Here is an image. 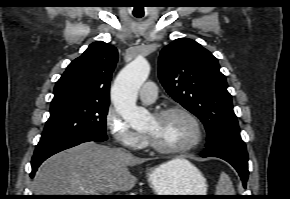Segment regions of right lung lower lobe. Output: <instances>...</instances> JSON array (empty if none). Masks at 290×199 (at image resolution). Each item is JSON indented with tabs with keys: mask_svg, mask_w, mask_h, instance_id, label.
<instances>
[{
	"mask_svg": "<svg viewBox=\"0 0 290 199\" xmlns=\"http://www.w3.org/2000/svg\"><path fill=\"white\" fill-rule=\"evenodd\" d=\"M88 141H99L103 142L105 141L104 139L92 137V136H85V137H78V138H73L69 140H62V141H57L53 143H46V144H38L36 146L34 155L32 157L31 165H32V171H31V178L34 177V174L40 164L46 160L48 157L71 147H74L80 143L83 142H88Z\"/></svg>",
	"mask_w": 290,
	"mask_h": 199,
	"instance_id": "obj_1",
	"label": "right lung lower lobe"
}]
</instances>
